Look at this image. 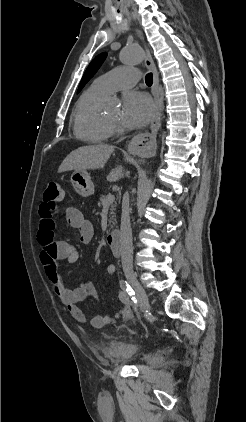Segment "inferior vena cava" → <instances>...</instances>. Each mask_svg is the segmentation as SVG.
<instances>
[{
  "label": "inferior vena cava",
  "mask_w": 246,
  "mask_h": 422,
  "mask_svg": "<svg viewBox=\"0 0 246 422\" xmlns=\"http://www.w3.org/2000/svg\"><path fill=\"white\" fill-rule=\"evenodd\" d=\"M121 262L123 270L131 272L133 270V248L132 230L130 223L129 193L126 192L122 201L121 234H120Z\"/></svg>",
  "instance_id": "602c4592"
}]
</instances>
